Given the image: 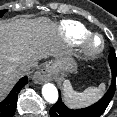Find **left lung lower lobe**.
<instances>
[{
    "mask_svg": "<svg viewBox=\"0 0 117 117\" xmlns=\"http://www.w3.org/2000/svg\"><path fill=\"white\" fill-rule=\"evenodd\" d=\"M112 72L111 85L106 94L95 104L82 109H69L62 101L59 92V99L50 109L51 117H100L112 100L116 88L117 64L110 65Z\"/></svg>",
    "mask_w": 117,
    "mask_h": 117,
    "instance_id": "0a47b994",
    "label": "left lung lower lobe"
}]
</instances>
